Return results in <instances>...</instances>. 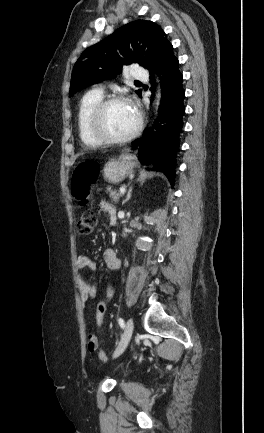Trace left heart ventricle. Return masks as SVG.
I'll return each instance as SVG.
<instances>
[{"label":"left heart ventricle","instance_id":"b2bd125f","mask_svg":"<svg viewBox=\"0 0 264 433\" xmlns=\"http://www.w3.org/2000/svg\"><path fill=\"white\" fill-rule=\"evenodd\" d=\"M136 121V112L130 104H113L105 112L104 130L110 136L121 137L134 128Z\"/></svg>","mask_w":264,"mask_h":433}]
</instances>
